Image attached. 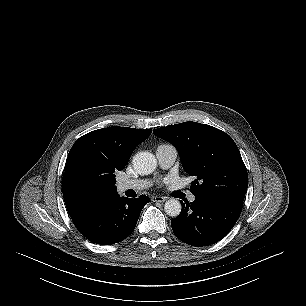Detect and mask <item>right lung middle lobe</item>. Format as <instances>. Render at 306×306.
I'll use <instances>...</instances> for the list:
<instances>
[{"mask_svg":"<svg viewBox=\"0 0 306 306\" xmlns=\"http://www.w3.org/2000/svg\"><path fill=\"white\" fill-rule=\"evenodd\" d=\"M101 166L93 164L88 157L80 158L76 168V180L80 186L87 190H94L101 186H114L115 171L122 170L116 168L112 164L104 163Z\"/></svg>","mask_w":306,"mask_h":306,"instance_id":"obj_1","label":"right lung middle lobe"}]
</instances>
